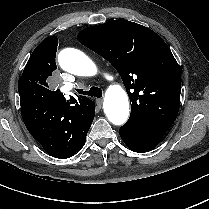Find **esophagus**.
I'll list each match as a JSON object with an SVG mask.
<instances>
[{"label": "esophagus", "instance_id": "obj_1", "mask_svg": "<svg viewBox=\"0 0 209 209\" xmlns=\"http://www.w3.org/2000/svg\"><path fill=\"white\" fill-rule=\"evenodd\" d=\"M96 103H97V105H98L99 107H101V106H102V103H103V99H97V100H96Z\"/></svg>", "mask_w": 209, "mask_h": 209}]
</instances>
